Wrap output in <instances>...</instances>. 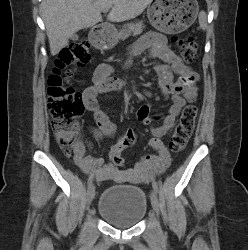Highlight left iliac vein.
<instances>
[{
	"label": "left iliac vein",
	"instance_id": "4c4485c4",
	"mask_svg": "<svg viewBox=\"0 0 248 250\" xmlns=\"http://www.w3.org/2000/svg\"><path fill=\"white\" fill-rule=\"evenodd\" d=\"M151 203L155 213H159V199L155 191L151 193Z\"/></svg>",
	"mask_w": 248,
	"mask_h": 250
}]
</instances>
